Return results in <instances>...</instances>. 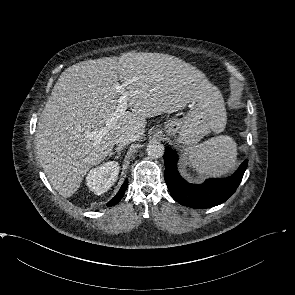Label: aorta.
I'll return each instance as SVG.
<instances>
[{"instance_id":"1","label":"aorta","mask_w":295,"mask_h":295,"mask_svg":"<svg viewBox=\"0 0 295 295\" xmlns=\"http://www.w3.org/2000/svg\"><path fill=\"white\" fill-rule=\"evenodd\" d=\"M146 152L150 158L157 159L163 156L164 146L160 142L151 141L147 145Z\"/></svg>"}]
</instances>
